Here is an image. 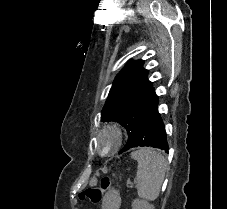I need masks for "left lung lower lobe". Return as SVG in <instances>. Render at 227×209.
<instances>
[{
  "label": "left lung lower lobe",
  "instance_id": "obj_1",
  "mask_svg": "<svg viewBox=\"0 0 227 209\" xmlns=\"http://www.w3.org/2000/svg\"><path fill=\"white\" fill-rule=\"evenodd\" d=\"M157 106L158 100H156L151 109H149V111L143 116L137 127L134 139L128 149L150 146L160 148L168 153L167 151L169 150V147L166 140L165 126L162 122Z\"/></svg>",
  "mask_w": 227,
  "mask_h": 209
}]
</instances>
